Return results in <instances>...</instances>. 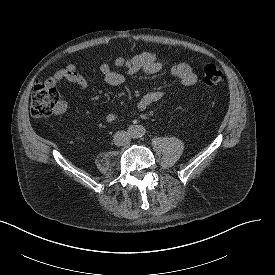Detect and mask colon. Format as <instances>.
Listing matches in <instances>:
<instances>
[{
    "mask_svg": "<svg viewBox=\"0 0 275 275\" xmlns=\"http://www.w3.org/2000/svg\"><path fill=\"white\" fill-rule=\"evenodd\" d=\"M204 83L212 89H219L224 83V73L215 65H207L203 70ZM59 93L48 82H36L32 89L30 111L32 116L45 118L52 115L60 105Z\"/></svg>",
    "mask_w": 275,
    "mask_h": 275,
    "instance_id": "colon-1",
    "label": "colon"
}]
</instances>
